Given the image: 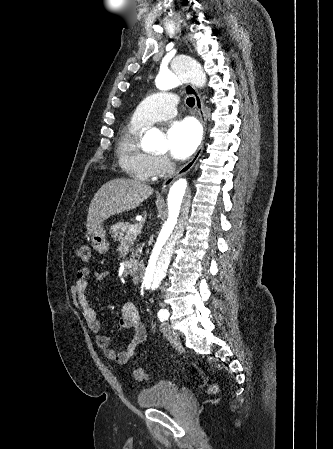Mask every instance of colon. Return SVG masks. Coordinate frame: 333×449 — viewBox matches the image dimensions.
<instances>
[{"label":"colon","instance_id":"colon-1","mask_svg":"<svg viewBox=\"0 0 333 449\" xmlns=\"http://www.w3.org/2000/svg\"><path fill=\"white\" fill-rule=\"evenodd\" d=\"M77 257L83 261L87 262L91 257V249L87 244H82L76 251ZM133 376L137 381H143L146 378V374L142 368H137L133 371ZM218 387L216 384H212L209 387V392L215 393L217 392Z\"/></svg>","mask_w":333,"mask_h":449}]
</instances>
